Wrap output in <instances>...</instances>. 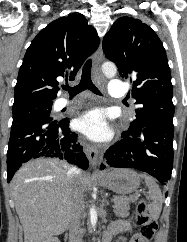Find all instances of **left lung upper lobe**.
<instances>
[{
	"label": "left lung upper lobe",
	"instance_id": "1",
	"mask_svg": "<svg viewBox=\"0 0 187 242\" xmlns=\"http://www.w3.org/2000/svg\"><path fill=\"white\" fill-rule=\"evenodd\" d=\"M103 51L124 78L133 81L132 95L140 107L128 130L158 126L174 128L173 87L162 42L139 19L121 17L103 40Z\"/></svg>",
	"mask_w": 187,
	"mask_h": 242
}]
</instances>
